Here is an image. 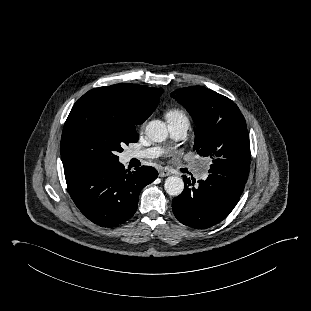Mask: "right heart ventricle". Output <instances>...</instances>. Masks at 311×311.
I'll return each instance as SVG.
<instances>
[{
    "instance_id": "obj_1",
    "label": "right heart ventricle",
    "mask_w": 311,
    "mask_h": 311,
    "mask_svg": "<svg viewBox=\"0 0 311 311\" xmlns=\"http://www.w3.org/2000/svg\"><path fill=\"white\" fill-rule=\"evenodd\" d=\"M165 117L168 122L170 123H177V122H187L189 123L188 116L186 112L180 108H170L165 112Z\"/></svg>"
}]
</instances>
